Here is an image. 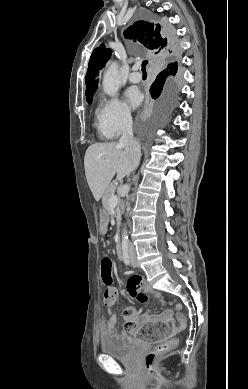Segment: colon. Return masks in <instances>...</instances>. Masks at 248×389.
Segmentation results:
<instances>
[{
  "label": "colon",
  "mask_w": 248,
  "mask_h": 389,
  "mask_svg": "<svg viewBox=\"0 0 248 389\" xmlns=\"http://www.w3.org/2000/svg\"><path fill=\"white\" fill-rule=\"evenodd\" d=\"M112 261L110 258H104L101 261V274L103 281L108 286L114 285V280L111 277ZM118 294L116 290L109 287L104 292V303L110 305L117 300ZM180 305H178L179 307ZM134 312L131 309L124 311V318L126 319L125 328L129 331L136 328V322L133 319ZM183 322H175L171 318L160 319L159 322H144L143 326H139L138 330H133V337H137L140 344H154L159 343V337H170L171 331L181 329ZM178 345V340L172 338L145 355V367L149 372H155L158 367L159 360L173 351Z\"/></svg>",
  "instance_id": "obj_1"
}]
</instances>
